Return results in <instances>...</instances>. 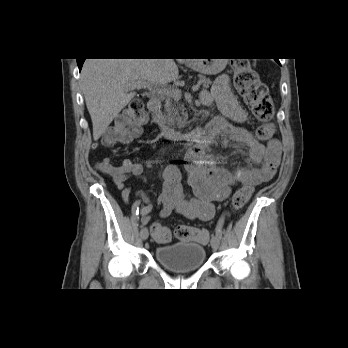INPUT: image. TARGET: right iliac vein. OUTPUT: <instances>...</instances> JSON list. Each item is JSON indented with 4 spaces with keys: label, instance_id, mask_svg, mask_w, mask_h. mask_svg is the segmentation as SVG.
<instances>
[{
    "label": "right iliac vein",
    "instance_id": "right-iliac-vein-1",
    "mask_svg": "<svg viewBox=\"0 0 348 348\" xmlns=\"http://www.w3.org/2000/svg\"><path fill=\"white\" fill-rule=\"evenodd\" d=\"M149 236L148 229L146 227H143L140 231V237L142 240H147Z\"/></svg>",
    "mask_w": 348,
    "mask_h": 348
}]
</instances>
